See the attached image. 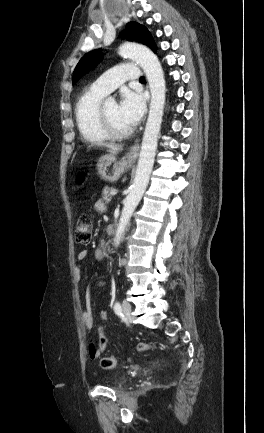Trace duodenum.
Instances as JSON below:
<instances>
[{"label": "duodenum", "mask_w": 264, "mask_h": 433, "mask_svg": "<svg viewBox=\"0 0 264 433\" xmlns=\"http://www.w3.org/2000/svg\"><path fill=\"white\" fill-rule=\"evenodd\" d=\"M108 233H109V235H113V233H114V227L113 226H110L108 228Z\"/></svg>", "instance_id": "410a0bca"}]
</instances>
